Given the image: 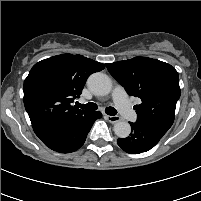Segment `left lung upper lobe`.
Listing matches in <instances>:
<instances>
[{
  "mask_svg": "<svg viewBox=\"0 0 201 201\" xmlns=\"http://www.w3.org/2000/svg\"><path fill=\"white\" fill-rule=\"evenodd\" d=\"M111 75L132 96L139 97L138 122L171 127L180 98L178 72L171 65L147 57L106 64Z\"/></svg>",
  "mask_w": 201,
  "mask_h": 201,
  "instance_id": "obj_1",
  "label": "left lung upper lobe"
}]
</instances>
